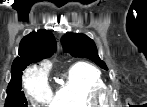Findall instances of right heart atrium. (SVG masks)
<instances>
[{"label": "right heart atrium", "mask_w": 147, "mask_h": 107, "mask_svg": "<svg viewBox=\"0 0 147 107\" xmlns=\"http://www.w3.org/2000/svg\"><path fill=\"white\" fill-rule=\"evenodd\" d=\"M25 88L32 103L47 102L51 97L47 71L44 68L32 69L25 78Z\"/></svg>", "instance_id": "obj_1"}]
</instances>
